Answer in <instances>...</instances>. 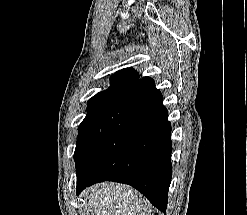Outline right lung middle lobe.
<instances>
[{"label": "right lung middle lobe", "mask_w": 247, "mask_h": 215, "mask_svg": "<svg viewBox=\"0 0 247 215\" xmlns=\"http://www.w3.org/2000/svg\"><path fill=\"white\" fill-rule=\"evenodd\" d=\"M124 92V89L103 91L96 94L88 101L87 115L78 128V141L76 144L74 158L90 130L121 98Z\"/></svg>", "instance_id": "obj_1"}]
</instances>
